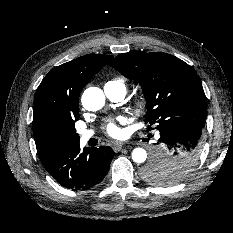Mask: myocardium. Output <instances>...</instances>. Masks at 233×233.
I'll return each mask as SVG.
<instances>
[{
  "label": "myocardium",
  "instance_id": "myocardium-1",
  "mask_svg": "<svg viewBox=\"0 0 233 233\" xmlns=\"http://www.w3.org/2000/svg\"><path fill=\"white\" fill-rule=\"evenodd\" d=\"M148 102L144 97H138L133 102V109L138 114H144L147 110Z\"/></svg>",
  "mask_w": 233,
  "mask_h": 233
}]
</instances>
